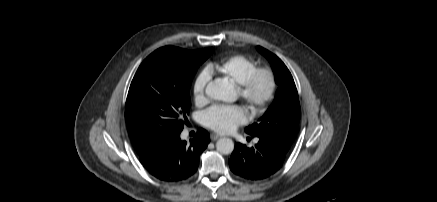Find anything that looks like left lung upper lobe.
<instances>
[{
    "label": "left lung upper lobe",
    "mask_w": 437,
    "mask_h": 202,
    "mask_svg": "<svg viewBox=\"0 0 437 202\" xmlns=\"http://www.w3.org/2000/svg\"><path fill=\"white\" fill-rule=\"evenodd\" d=\"M257 49L271 63L278 89L265 114L258 122L246 127L245 132L264 138L288 152L295 139L301 116L297 89L285 64L268 50L260 46Z\"/></svg>",
    "instance_id": "5c2ea615"
}]
</instances>
